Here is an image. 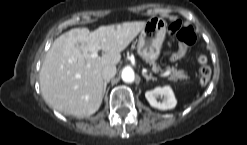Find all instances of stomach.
I'll list each match as a JSON object with an SVG mask.
<instances>
[{"instance_id":"stomach-1","label":"stomach","mask_w":247,"mask_h":145,"mask_svg":"<svg viewBox=\"0 0 247 145\" xmlns=\"http://www.w3.org/2000/svg\"><path fill=\"white\" fill-rule=\"evenodd\" d=\"M167 23L159 17H152L141 30L138 43V55L146 63H154L159 58L166 35Z\"/></svg>"}]
</instances>
